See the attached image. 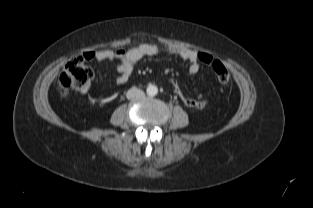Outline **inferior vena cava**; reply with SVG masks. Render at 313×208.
<instances>
[{
  "label": "inferior vena cava",
  "mask_w": 313,
  "mask_h": 208,
  "mask_svg": "<svg viewBox=\"0 0 313 208\" xmlns=\"http://www.w3.org/2000/svg\"><path fill=\"white\" fill-rule=\"evenodd\" d=\"M144 96V92L138 88H131L127 91L126 97L127 99H139Z\"/></svg>",
  "instance_id": "obj_1"
}]
</instances>
